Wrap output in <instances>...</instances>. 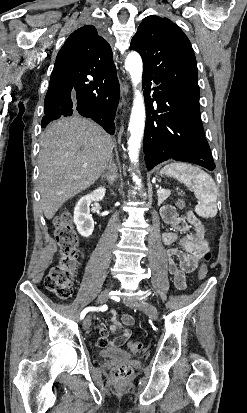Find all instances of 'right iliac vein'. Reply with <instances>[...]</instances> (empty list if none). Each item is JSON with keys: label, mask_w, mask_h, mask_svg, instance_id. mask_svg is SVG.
<instances>
[{"label": "right iliac vein", "mask_w": 247, "mask_h": 413, "mask_svg": "<svg viewBox=\"0 0 247 413\" xmlns=\"http://www.w3.org/2000/svg\"><path fill=\"white\" fill-rule=\"evenodd\" d=\"M107 300H108V290L102 292L98 296L97 303H105ZM91 324H92L91 317H90V315H88L85 318V320L83 321V328L88 329V328H90Z\"/></svg>", "instance_id": "obj_1"}]
</instances>
